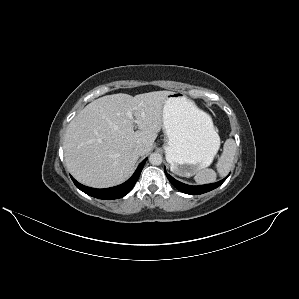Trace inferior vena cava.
<instances>
[{"mask_svg":"<svg viewBox=\"0 0 299 299\" xmlns=\"http://www.w3.org/2000/svg\"><path fill=\"white\" fill-rule=\"evenodd\" d=\"M135 153L138 155H144L145 154V148L143 145H137L134 149Z\"/></svg>","mask_w":299,"mask_h":299,"instance_id":"602c4592","label":"inferior vena cava"}]
</instances>
